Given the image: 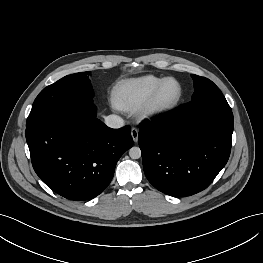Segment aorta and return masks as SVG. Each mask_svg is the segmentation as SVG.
Wrapping results in <instances>:
<instances>
[{
    "instance_id": "1",
    "label": "aorta",
    "mask_w": 263,
    "mask_h": 263,
    "mask_svg": "<svg viewBox=\"0 0 263 263\" xmlns=\"http://www.w3.org/2000/svg\"><path fill=\"white\" fill-rule=\"evenodd\" d=\"M129 156L132 159H139L141 157V150H140V148L139 147H135V146L130 148Z\"/></svg>"
}]
</instances>
